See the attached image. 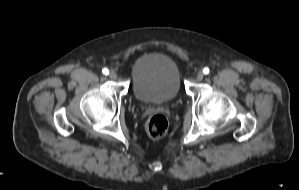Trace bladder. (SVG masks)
I'll use <instances>...</instances> for the list:
<instances>
[{"label": "bladder", "instance_id": "bladder-1", "mask_svg": "<svg viewBox=\"0 0 299 190\" xmlns=\"http://www.w3.org/2000/svg\"><path fill=\"white\" fill-rule=\"evenodd\" d=\"M181 69L176 59L163 51H149L141 56L133 69V95L145 103H165L181 91Z\"/></svg>", "mask_w": 299, "mask_h": 190}]
</instances>
